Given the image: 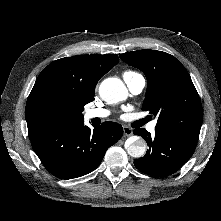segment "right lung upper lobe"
Wrapping results in <instances>:
<instances>
[{"label": "right lung upper lobe", "mask_w": 221, "mask_h": 221, "mask_svg": "<svg viewBox=\"0 0 221 221\" xmlns=\"http://www.w3.org/2000/svg\"><path fill=\"white\" fill-rule=\"evenodd\" d=\"M117 55H78L56 60L38 76L27 99L25 117L29 137L57 126L54 111L62 107L74 118L84 121V106L94 99L99 79L110 71Z\"/></svg>", "instance_id": "1"}]
</instances>
